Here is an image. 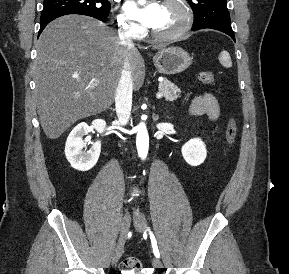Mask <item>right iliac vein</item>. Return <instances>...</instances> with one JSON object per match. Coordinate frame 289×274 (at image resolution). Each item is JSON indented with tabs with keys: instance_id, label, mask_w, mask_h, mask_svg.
<instances>
[{
	"instance_id": "63e3f726",
	"label": "right iliac vein",
	"mask_w": 289,
	"mask_h": 274,
	"mask_svg": "<svg viewBox=\"0 0 289 274\" xmlns=\"http://www.w3.org/2000/svg\"><path fill=\"white\" fill-rule=\"evenodd\" d=\"M129 228H130V215L126 214L123 217L122 223H121V228H120V235H119V239L116 245V248L114 250L113 256H112V264H116L119 259L122 256L123 253V247L127 238V234L129 232Z\"/></svg>"
}]
</instances>
